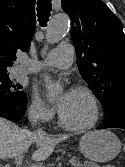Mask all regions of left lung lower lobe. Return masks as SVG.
<instances>
[{"label": "left lung lower lobe", "mask_w": 125, "mask_h": 167, "mask_svg": "<svg viewBox=\"0 0 125 167\" xmlns=\"http://www.w3.org/2000/svg\"><path fill=\"white\" fill-rule=\"evenodd\" d=\"M113 127L125 129V107H116L111 110L98 129Z\"/></svg>", "instance_id": "obj_1"}]
</instances>
